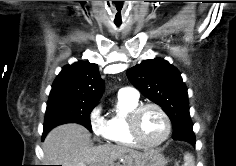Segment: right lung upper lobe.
Wrapping results in <instances>:
<instances>
[{
	"label": "right lung upper lobe",
	"mask_w": 236,
	"mask_h": 166,
	"mask_svg": "<svg viewBox=\"0 0 236 166\" xmlns=\"http://www.w3.org/2000/svg\"><path fill=\"white\" fill-rule=\"evenodd\" d=\"M104 90V82L100 78L98 65L78 61L62 68L55 79L49 100L74 99L97 103Z\"/></svg>",
	"instance_id": "cb5924a9"
}]
</instances>
